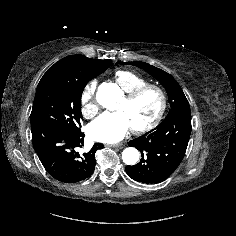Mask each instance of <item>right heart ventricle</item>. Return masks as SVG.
<instances>
[{"label": "right heart ventricle", "mask_w": 236, "mask_h": 236, "mask_svg": "<svg viewBox=\"0 0 236 236\" xmlns=\"http://www.w3.org/2000/svg\"><path fill=\"white\" fill-rule=\"evenodd\" d=\"M113 78L117 85L126 93L148 84L147 79L131 70H118L114 73Z\"/></svg>", "instance_id": "obj_1"}]
</instances>
